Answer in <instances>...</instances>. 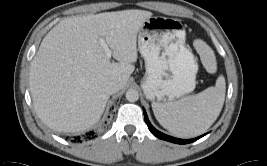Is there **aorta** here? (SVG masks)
<instances>
[{
  "instance_id": "obj_1",
  "label": "aorta",
  "mask_w": 267,
  "mask_h": 166,
  "mask_svg": "<svg viewBox=\"0 0 267 166\" xmlns=\"http://www.w3.org/2000/svg\"><path fill=\"white\" fill-rule=\"evenodd\" d=\"M126 99L129 102H136L139 99V92L136 89H129L126 92Z\"/></svg>"
}]
</instances>
